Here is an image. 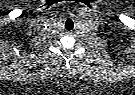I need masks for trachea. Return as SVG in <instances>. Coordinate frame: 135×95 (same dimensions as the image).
Here are the masks:
<instances>
[{"instance_id": "obj_1", "label": "trachea", "mask_w": 135, "mask_h": 95, "mask_svg": "<svg viewBox=\"0 0 135 95\" xmlns=\"http://www.w3.org/2000/svg\"><path fill=\"white\" fill-rule=\"evenodd\" d=\"M65 27L67 30H72L73 27H74V23L71 19H68L66 22H65Z\"/></svg>"}]
</instances>
